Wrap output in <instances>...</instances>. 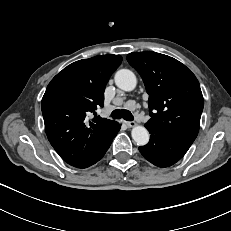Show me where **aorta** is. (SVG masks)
<instances>
[{"mask_svg":"<svg viewBox=\"0 0 231 231\" xmlns=\"http://www.w3.org/2000/svg\"><path fill=\"white\" fill-rule=\"evenodd\" d=\"M115 84L124 91H132L137 84L135 74L128 69H121L115 74ZM133 140L137 145L143 146L149 142V132L144 126H135L131 131Z\"/></svg>","mask_w":231,"mask_h":231,"instance_id":"1","label":"aorta"}]
</instances>
